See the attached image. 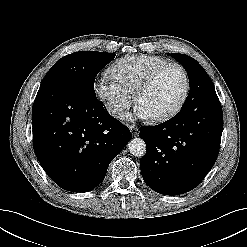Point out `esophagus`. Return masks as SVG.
<instances>
[{
	"instance_id": "1",
	"label": "esophagus",
	"mask_w": 247,
	"mask_h": 247,
	"mask_svg": "<svg viewBox=\"0 0 247 247\" xmlns=\"http://www.w3.org/2000/svg\"><path fill=\"white\" fill-rule=\"evenodd\" d=\"M129 129H130V131H131L133 136H137L138 135L139 130H138L137 127L130 126Z\"/></svg>"
}]
</instances>
